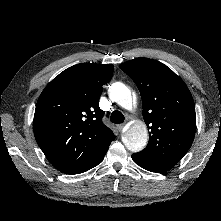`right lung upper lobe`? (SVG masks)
Segmentation results:
<instances>
[{"instance_id":"obj_1","label":"right lung upper lobe","mask_w":221,"mask_h":221,"mask_svg":"<svg viewBox=\"0 0 221 221\" xmlns=\"http://www.w3.org/2000/svg\"><path fill=\"white\" fill-rule=\"evenodd\" d=\"M112 64L80 63L55 77L41 93L34 135L47 159L65 174L85 172L102 161L115 139L99 107Z\"/></svg>"}]
</instances>
